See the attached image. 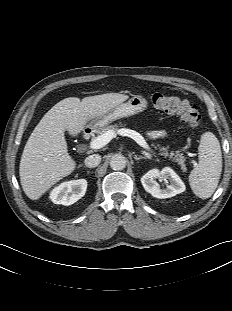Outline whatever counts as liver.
<instances>
[{"label":"liver","mask_w":232,"mask_h":311,"mask_svg":"<svg viewBox=\"0 0 232 311\" xmlns=\"http://www.w3.org/2000/svg\"><path fill=\"white\" fill-rule=\"evenodd\" d=\"M129 98L119 93L68 97L55 104L40 120L24 147L20 182L31 200L39 199L76 167L69 155L64 132L77 136L89 120L98 118Z\"/></svg>","instance_id":"1"}]
</instances>
